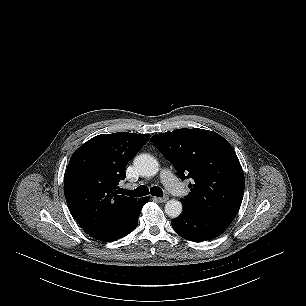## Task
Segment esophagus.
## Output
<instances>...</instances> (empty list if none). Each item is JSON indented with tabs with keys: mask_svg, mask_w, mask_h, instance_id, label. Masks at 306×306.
<instances>
[{
	"mask_svg": "<svg viewBox=\"0 0 306 306\" xmlns=\"http://www.w3.org/2000/svg\"><path fill=\"white\" fill-rule=\"evenodd\" d=\"M169 197L168 196H164V197H154V200L159 202V203H165L166 201H168Z\"/></svg>",
	"mask_w": 306,
	"mask_h": 306,
	"instance_id": "obj_1",
	"label": "esophagus"
}]
</instances>
